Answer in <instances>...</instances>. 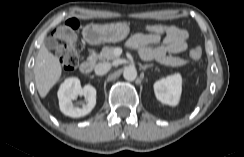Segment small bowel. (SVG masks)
Masks as SVG:
<instances>
[{
    "label": "small bowel",
    "instance_id": "small-bowel-1",
    "mask_svg": "<svg viewBox=\"0 0 244 157\" xmlns=\"http://www.w3.org/2000/svg\"><path fill=\"white\" fill-rule=\"evenodd\" d=\"M189 33L182 28L169 26L162 34L139 33L128 40V46L137 49L144 60H159L167 53L177 54L186 50Z\"/></svg>",
    "mask_w": 244,
    "mask_h": 157
}]
</instances>
